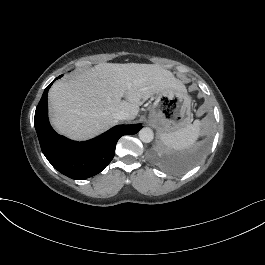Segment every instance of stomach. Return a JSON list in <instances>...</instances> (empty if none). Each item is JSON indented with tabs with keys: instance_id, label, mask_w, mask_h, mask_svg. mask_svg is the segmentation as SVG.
<instances>
[{
	"instance_id": "obj_1",
	"label": "stomach",
	"mask_w": 265,
	"mask_h": 265,
	"mask_svg": "<svg viewBox=\"0 0 265 265\" xmlns=\"http://www.w3.org/2000/svg\"><path fill=\"white\" fill-rule=\"evenodd\" d=\"M149 119L162 134L181 129L191 119L190 97L178 90L157 93Z\"/></svg>"
}]
</instances>
